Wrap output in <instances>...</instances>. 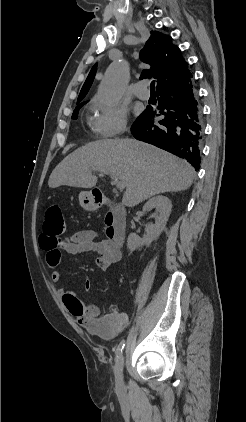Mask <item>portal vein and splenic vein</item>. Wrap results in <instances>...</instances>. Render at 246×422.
<instances>
[{
	"label": "portal vein and splenic vein",
	"instance_id": "18ae733b",
	"mask_svg": "<svg viewBox=\"0 0 246 422\" xmlns=\"http://www.w3.org/2000/svg\"><path fill=\"white\" fill-rule=\"evenodd\" d=\"M99 172H100V174H99L100 176H103L105 174L109 175L111 180H112V183L117 187V189L123 190L125 188V184L122 181H120L117 177L110 174L109 172H107L105 170H100Z\"/></svg>",
	"mask_w": 246,
	"mask_h": 422
}]
</instances>
